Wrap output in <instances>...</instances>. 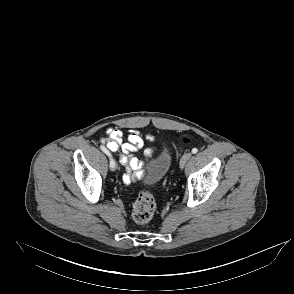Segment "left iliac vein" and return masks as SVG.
<instances>
[{"instance_id":"obj_1","label":"left iliac vein","mask_w":294,"mask_h":294,"mask_svg":"<svg viewBox=\"0 0 294 294\" xmlns=\"http://www.w3.org/2000/svg\"><path fill=\"white\" fill-rule=\"evenodd\" d=\"M192 154L190 152L185 153L181 160H180V168H184L185 164L187 163V161L191 158Z\"/></svg>"}]
</instances>
